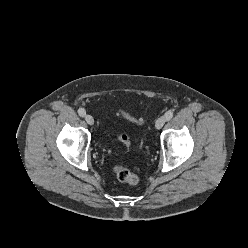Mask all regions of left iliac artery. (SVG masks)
<instances>
[{
  "label": "left iliac artery",
  "instance_id": "44dca946",
  "mask_svg": "<svg viewBox=\"0 0 248 248\" xmlns=\"http://www.w3.org/2000/svg\"><path fill=\"white\" fill-rule=\"evenodd\" d=\"M173 115H174V113H173L172 110L167 111V112L165 113V118H166V120H171L172 117H173Z\"/></svg>",
  "mask_w": 248,
  "mask_h": 248
}]
</instances>
